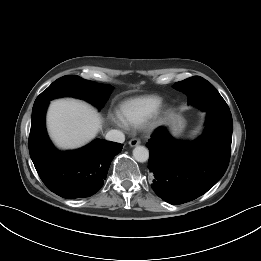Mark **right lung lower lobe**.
<instances>
[{"instance_id": "obj_1", "label": "right lung lower lobe", "mask_w": 261, "mask_h": 261, "mask_svg": "<svg viewBox=\"0 0 261 261\" xmlns=\"http://www.w3.org/2000/svg\"><path fill=\"white\" fill-rule=\"evenodd\" d=\"M48 104L44 102L32 110L29 152L36 171L44 184L63 198L89 197L102 187L122 144L97 139L79 150L58 151L45 129Z\"/></svg>"}]
</instances>
